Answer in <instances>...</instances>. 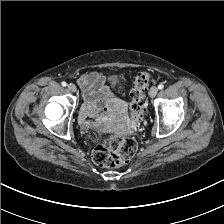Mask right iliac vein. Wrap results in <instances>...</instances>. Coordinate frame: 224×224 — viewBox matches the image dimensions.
Instances as JSON below:
<instances>
[{"label": "right iliac vein", "instance_id": "63e3f726", "mask_svg": "<svg viewBox=\"0 0 224 224\" xmlns=\"http://www.w3.org/2000/svg\"><path fill=\"white\" fill-rule=\"evenodd\" d=\"M68 90L70 92H76L77 88H76V86L74 84H69L68 85Z\"/></svg>", "mask_w": 224, "mask_h": 224}]
</instances>
